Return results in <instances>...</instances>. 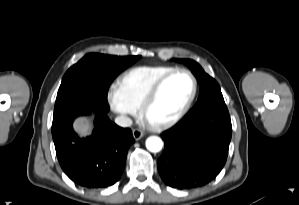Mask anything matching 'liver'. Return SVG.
Instances as JSON below:
<instances>
[{
	"label": "liver",
	"instance_id": "liver-1",
	"mask_svg": "<svg viewBox=\"0 0 299 205\" xmlns=\"http://www.w3.org/2000/svg\"><path fill=\"white\" fill-rule=\"evenodd\" d=\"M74 129L80 136L89 135L91 132V122L87 118H80L74 122Z\"/></svg>",
	"mask_w": 299,
	"mask_h": 205
}]
</instances>
